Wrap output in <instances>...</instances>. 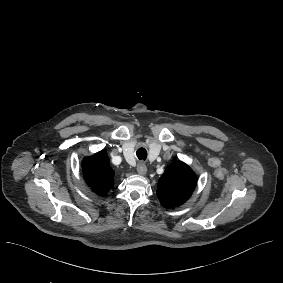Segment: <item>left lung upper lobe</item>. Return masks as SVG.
<instances>
[{
    "label": "left lung upper lobe",
    "mask_w": 283,
    "mask_h": 283,
    "mask_svg": "<svg viewBox=\"0 0 283 283\" xmlns=\"http://www.w3.org/2000/svg\"><path fill=\"white\" fill-rule=\"evenodd\" d=\"M197 183V176L184 162L175 161L160 177L157 196L163 206L177 207L191 196Z\"/></svg>",
    "instance_id": "obj_1"
}]
</instances>
